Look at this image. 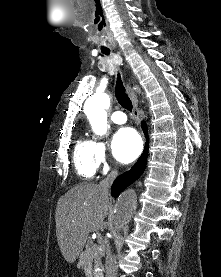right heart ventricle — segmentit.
Segmentation results:
<instances>
[{
	"instance_id": "1",
	"label": "right heart ventricle",
	"mask_w": 221,
	"mask_h": 277,
	"mask_svg": "<svg viewBox=\"0 0 221 277\" xmlns=\"http://www.w3.org/2000/svg\"><path fill=\"white\" fill-rule=\"evenodd\" d=\"M73 162L80 178L84 180L93 178L98 168L95 158V142L80 138L74 147Z\"/></svg>"
}]
</instances>
